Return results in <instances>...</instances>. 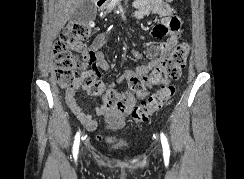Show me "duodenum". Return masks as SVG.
Returning <instances> with one entry per match:
<instances>
[{
    "label": "duodenum",
    "instance_id": "410a0bca",
    "mask_svg": "<svg viewBox=\"0 0 244 179\" xmlns=\"http://www.w3.org/2000/svg\"><path fill=\"white\" fill-rule=\"evenodd\" d=\"M105 3H106V0H99L97 1V6H96V9L97 10H102L103 9V6H105Z\"/></svg>",
    "mask_w": 244,
    "mask_h": 179
}]
</instances>
